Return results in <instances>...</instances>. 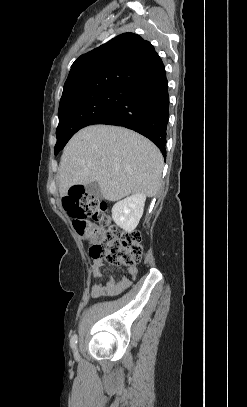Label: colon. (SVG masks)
Segmentation results:
<instances>
[{"mask_svg": "<svg viewBox=\"0 0 247 407\" xmlns=\"http://www.w3.org/2000/svg\"><path fill=\"white\" fill-rule=\"evenodd\" d=\"M73 218V225L90 246L93 258H104L121 267H136L143 255L141 234L138 231L120 232L112 224L108 206L81 187H73L62 201Z\"/></svg>", "mask_w": 247, "mask_h": 407, "instance_id": "obj_1", "label": "colon"}]
</instances>
